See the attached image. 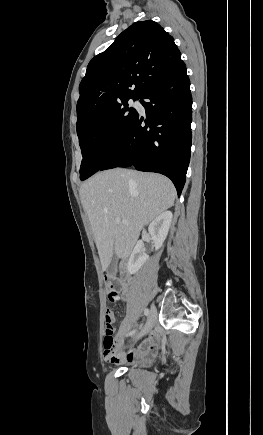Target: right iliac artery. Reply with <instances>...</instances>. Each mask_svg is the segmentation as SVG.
Wrapping results in <instances>:
<instances>
[{
  "label": "right iliac artery",
  "mask_w": 263,
  "mask_h": 435,
  "mask_svg": "<svg viewBox=\"0 0 263 435\" xmlns=\"http://www.w3.org/2000/svg\"><path fill=\"white\" fill-rule=\"evenodd\" d=\"M149 313H150L149 309H147V308H146V309L144 310V314H145V316H148V315H149ZM135 331H136V330L132 331V332H131V333H129V334L127 335V336H129V335H132V334H134V333H135Z\"/></svg>",
  "instance_id": "obj_1"
}]
</instances>
